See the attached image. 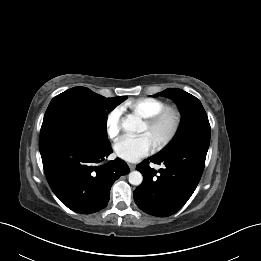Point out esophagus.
Here are the masks:
<instances>
[{"label": "esophagus", "instance_id": "34e87169", "mask_svg": "<svg viewBox=\"0 0 261 261\" xmlns=\"http://www.w3.org/2000/svg\"><path fill=\"white\" fill-rule=\"evenodd\" d=\"M128 165H129V168H130L131 170L135 169V167H136L135 164H128Z\"/></svg>", "mask_w": 261, "mask_h": 261}]
</instances>
